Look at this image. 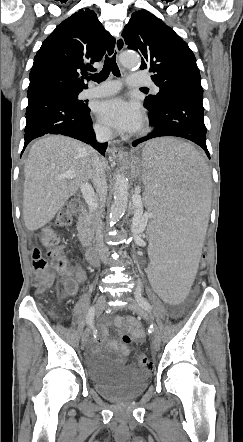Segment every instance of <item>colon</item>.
Masks as SVG:
<instances>
[{"label":"colon","instance_id":"5ec220e1","mask_svg":"<svg viewBox=\"0 0 243 442\" xmlns=\"http://www.w3.org/2000/svg\"><path fill=\"white\" fill-rule=\"evenodd\" d=\"M73 204L63 208L58 216L57 224L59 226H68L71 222V217L74 212ZM125 228L131 229L133 224L129 222V218H124ZM41 243L44 248L47 249L49 256L51 258V267L58 273H64L68 268V259L64 253L63 247L60 244V240L57 234L52 230H44L41 233ZM209 256L202 255L201 259L197 265L196 272L199 275L204 274L205 268L208 264ZM32 265L34 270V275L39 281V287L41 290L48 288L53 281V271L48 265L47 260L42 256L40 250L35 248L32 254ZM124 343H129L130 338L127 335L122 337ZM135 364L144 369H151L153 364L150 357L145 353L140 351H133Z\"/></svg>","mask_w":243,"mask_h":442}]
</instances>
